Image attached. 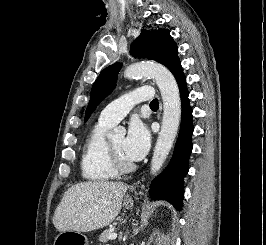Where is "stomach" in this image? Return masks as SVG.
<instances>
[{
  "instance_id": "0dacf381",
  "label": "stomach",
  "mask_w": 266,
  "mask_h": 245,
  "mask_svg": "<svg viewBox=\"0 0 266 245\" xmlns=\"http://www.w3.org/2000/svg\"><path fill=\"white\" fill-rule=\"evenodd\" d=\"M125 209H132L133 201L130 197L124 199ZM58 242H74V245H88L89 241L80 231H72V233H59Z\"/></svg>"
}]
</instances>
